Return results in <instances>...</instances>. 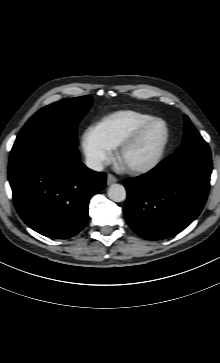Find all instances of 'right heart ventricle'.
<instances>
[{
    "instance_id": "right-heart-ventricle-1",
    "label": "right heart ventricle",
    "mask_w": 220,
    "mask_h": 363,
    "mask_svg": "<svg viewBox=\"0 0 220 363\" xmlns=\"http://www.w3.org/2000/svg\"><path fill=\"white\" fill-rule=\"evenodd\" d=\"M153 118L135 110H120L100 119L95 129L101 139L114 149L137 127Z\"/></svg>"
}]
</instances>
